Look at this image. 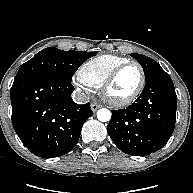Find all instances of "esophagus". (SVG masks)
Segmentation results:
<instances>
[{
  "instance_id": "34e87169",
  "label": "esophagus",
  "mask_w": 193,
  "mask_h": 193,
  "mask_svg": "<svg viewBox=\"0 0 193 193\" xmlns=\"http://www.w3.org/2000/svg\"><path fill=\"white\" fill-rule=\"evenodd\" d=\"M100 107H101V105H99L97 103H92L91 104V109H92L93 112H96Z\"/></svg>"
}]
</instances>
